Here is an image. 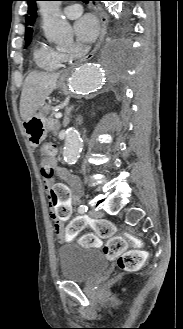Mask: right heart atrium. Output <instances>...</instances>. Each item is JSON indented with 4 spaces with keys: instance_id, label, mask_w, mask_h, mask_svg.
<instances>
[{
    "instance_id": "obj_1",
    "label": "right heart atrium",
    "mask_w": 183,
    "mask_h": 329,
    "mask_svg": "<svg viewBox=\"0 0 183 329\" xmlns=\"http://www.w3.org/2000/svg\"><path fill=\"white\" fill-rule=\"evenodd\" d=\"M73 56H74V55L68 54V55H66V58L69 59V58H71V57H73Z\"/></svg>"
}]
</instances>
